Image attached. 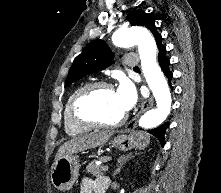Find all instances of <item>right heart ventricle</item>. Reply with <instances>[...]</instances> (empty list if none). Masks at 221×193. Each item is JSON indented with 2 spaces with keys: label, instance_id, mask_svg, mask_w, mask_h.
Returning <instances> with one entry per match:
<instances>
[{
  "label": "right heart ventricle",
  "instance_id": "right-heart-ventricle-1",
  "mask_svg": "<svg viewBox=\"0 0 221 193\" xmlns=\"http://www.w3.org/2000/svg\"><path fill=\"white\" fill-rule=\"evenodd\" d=\"M80 88H81V86H78L72 91V93L68 97V100L66 102L65 109H64V129H65V132L69 136L81 135V134L88 132L91 129L90 127H86V126H82V125L78 124L73 119L72 114H71V109H70L71 101H72L74 95L76 94V92Z\"/></svg>",
  "mask_w": 221,
  "mask_h": 193
}]
</instances>
